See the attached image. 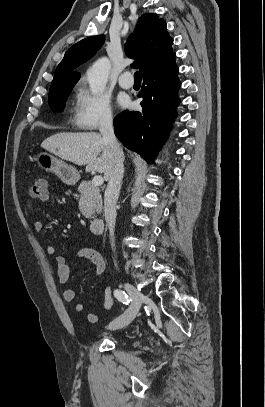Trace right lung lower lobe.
I'll return each mask as SVG.
<instances>
[{
    "label": "right lung lower lobe",
    "mask_w": 265,
    "mask_h": 407,
    "mask_svg": "<svg viewBox=\"0 0 265 407\" xmlns=\"http://www.w3.org/2000/svg\"><path fill=\"white\" fill-rule=\"evenodd\" d=\"M179 69L175 53L161 60L151 71L144 74L139 97L142 112L125 111L114 119L115 134L128 149L139 153L152 162L176 116L179 103L177 90L181 84L177 78ZM170 110H172L170 112Z\"/></svg>",
    "instance_id": "obj_1"
}]
</instances>
